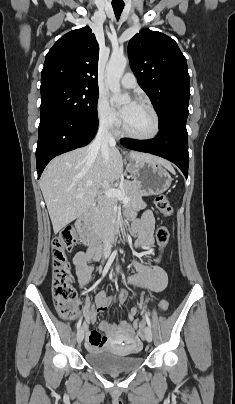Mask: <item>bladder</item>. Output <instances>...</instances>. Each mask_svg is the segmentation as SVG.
Masks as SVG:
<instances>
[{
    "instance_id": "31cf9c89",
    "label": "bladder",
    "mask_w": 235,
    "mask_h": 404,
    "mask_svg": "<svg viewBox=\"0 0 235 404\" xmlns=\"http://www.w3.org/2000/svg\"><path fill=\"white\" fill-rule=\"evenodd\" d=\"M118 351L121 349L117 346L100 347L88 351L85 359L94 368L110 373L133 371L142 364L141 356L132 355L136 348L126 350V354Z\"/></svg>"
}]
</instances>
